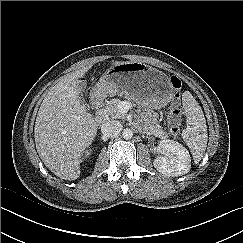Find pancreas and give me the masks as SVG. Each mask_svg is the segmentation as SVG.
I'll use <instances>...</instances> for the list:
<instances>
[{
  "label": "pancreas",
  "instance_id": "obj_1",
  "mask_svg": "<svg viewBox=\"0 0 243 243\" xmlns=\"http://www.w3.org/2000/svg\"><path fill=\"white\" fill-rule=\"evenodd\" d=\"M122 103L123 101L118 98L111 99L107 102L104 108V114L112 119L124 118L126 116V112L119 107ZM150 132L151 134L161 138L168 137V134L164 132L159 125L151 126Z\"/></svg>",
  "mask_w": 243,
  "mask_h": 243
}]
</instances>
